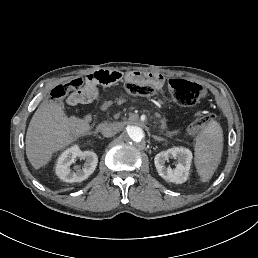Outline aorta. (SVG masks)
Masks as SVG:
<instances>
[{
	"mask_svg": "<svg viewBox=\"0 0 258 258\" xmlns=\"http://www.w3.org/2000/svg\"><path fill=\"white\" fill-rule=\"evenodd\" d=\"M126 137L129 140L138 143L144 138V131L139 126L129 125L126 128Z\"/></svg>",
	"mask_w": 258,
	"mask_h": 258,
	"instance_id": "aorta-1",
	"label": "aorta"
}]
</instances>
